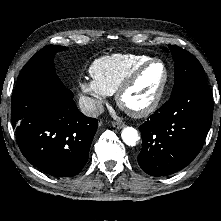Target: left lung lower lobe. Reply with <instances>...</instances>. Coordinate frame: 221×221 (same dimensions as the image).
I'll return each mask as SVG.
<instances>
[{"mask_svg":"<svg viewBox=\"0 0 221 221\" xmlns=\"http://www.w3.org/2000/svg\"><path fill=\"white\" fill-rule=\"evenodd\" d=\"M213 117L207 84L191 85L162 105L142 124L140 167L165 176L186 167L200 152Z\"/></svg>","mask_w":221,"mask_h":221,"instance_id":"obj_1","label":"left lung lower lobe"}]
</instances>
